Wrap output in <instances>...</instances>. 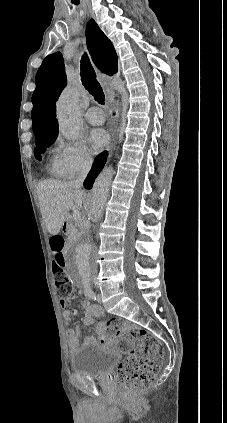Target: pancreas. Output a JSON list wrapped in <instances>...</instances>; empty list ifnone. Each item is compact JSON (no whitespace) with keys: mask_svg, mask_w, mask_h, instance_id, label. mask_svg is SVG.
<instances>
[{"mask_svg":"<svg viewBox=\"0 0 227 423\" xmlns=\"http://www.w3.org/2000/svg\"><path fill=\"white\" fill-rule=\"evenodd\" d=\"M68 229L70 231L69 239H78L83 233L84 225L82 221H71Z\"/></svg>","mask_w":227,"mask_h":423,"instance_id":"1","label":"pancreas"}]
</instances>
